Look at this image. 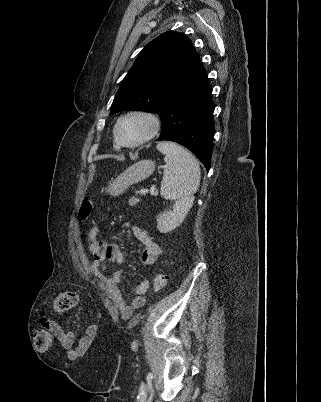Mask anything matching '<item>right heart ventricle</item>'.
<instances>
[{
    "mask_svg": "<svg viewBox=\"0 0 321 402\" xmlns=\"http://www.w3.org/2000/svg\"><path fill=\"white\" fill-rule=\"evenodd\" d=\"M114 147H115V148H118V145L116 144V142H115V144H114Z\"/></svg>",
    "mask_w": 321,
    "mask_h": 402,
    "instance_id": "right-heart-ventricle-1",
    "label": "right heart ventricle"
}]
</instances>
